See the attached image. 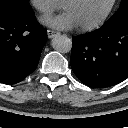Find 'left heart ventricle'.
I'll use <instances>...</instances> for the list:
<instances>
[{"label":"left heart ventricle","mask_w":128,"mask_h":128,"mask_svg":"<svg viewBox=\"0 0 128 128\" xmlns=\"http://www.w3.org/2000/svg\"><path fill=\"white\" fill-rule=\"evenodd\" d=\"M111 0H72L62 5L75 18L78 26L95 22L109 6Z\"/></svg>","instance_id":"b2bd125f"}]
</instances>
